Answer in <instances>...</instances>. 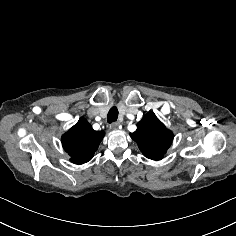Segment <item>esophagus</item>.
<instances>
[{
  "instance_id": "34e87169",
  "label": "esophagus",
  "mask_w": 236,
  "mask_h": 236,
  "mask_svg": "<svg viewBox=\"0 0 236 236\" xmlns=\"http://www.w3.org/2000/svg\"><path fill=\"white\" fill-rule=\"evenodd\" d=\"M118 126H119V122H118V121H115V122H113V123L110 124V127H111L113 130L118 129Z\"/></svg>"
}]
</instances>
